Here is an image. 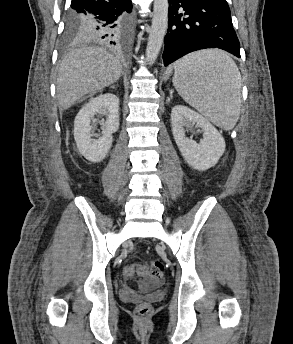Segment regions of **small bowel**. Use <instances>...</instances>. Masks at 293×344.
I'll list each match as a JSON object with an SVG mask.
<instances>
[{
    "label": "small bowel",
    "mask_w": 293,
    "mask_h": 344,
    "mask_svg": "<svg viewBox=\"0 0 293 344\" xmlns=\"http://www.w3.org/2000/svg\"><path fill=\"white\" fill-rule=\"evenodd\" d=\"M125 278L129 279L130 276L125 275ZM120 295L122 298L127 299V300H132V299H135L136 297L135 291L128 286L124 287L121 290Z\"/></svg>",
    "instance_id": "c3829d8e"
}]
</instances>
